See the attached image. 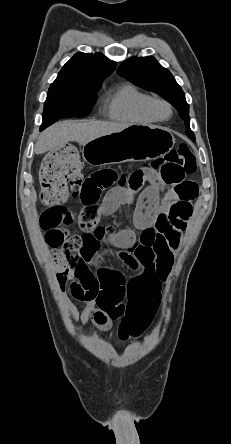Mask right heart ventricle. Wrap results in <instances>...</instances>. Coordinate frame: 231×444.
<instances>
[{"label":"right heart ventricle","mask_w":231,"mask_h":444,"mask_svg":"<svg viewBox=\"0 0 231 444\" xmlns=\"http://www.w3.org/2000/svg\"><path fill=\"white\" fill-rule=\"evenodd\" d=\"M150 95L136 85L127 83L111 93L106 101V114L113 121L133 124H150L155 120L146 111Z\"/></svg>","instance_id":"right-heart-ventricle-1"}]
</instances>
